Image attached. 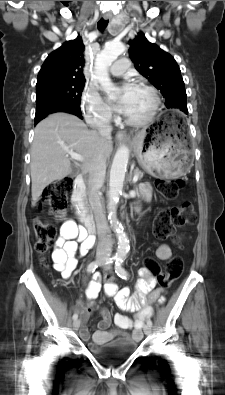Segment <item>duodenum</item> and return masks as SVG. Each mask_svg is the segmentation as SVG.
Wrapping results in <instances>:
<instances>
[{
	"label": "duodenum",
	"instance_id": "duodenum-1",
	"mask_svg": "<svg viewBox=\"0 0 225 395\" xmlns=\"http://www.w3.org/2000/svg\"><path fill=\"white\" fill-rule=\"evenodd\" d=\"M72 202L76 208L79 219L85 226L86 230L88 231V233L93 234L95 231V224L86 204L85 180L82 176H78L75 179Z\"/></svg>",
	"mask_w": 225,
	"mask_h": 395
}]
</instances>
